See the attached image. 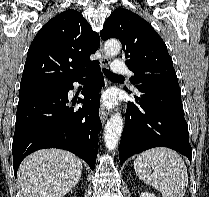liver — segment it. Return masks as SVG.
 Wrapping results in <instances>:
<instances>
[{"label": "liver", "instance_id": "1", "mask_svg": "<svg viewBox=\"0 0 209 197\" xmlns=\"http://www.w3.org/2000/svg\"><path fill=\"white\" fill-rule=\"evenodd\" d=\"M82 160L60 149L38 150L19 168L22 197H63L78 183Z\"/></svg>", "mask_w": 209, "mask_h": 197}]
</instances>
